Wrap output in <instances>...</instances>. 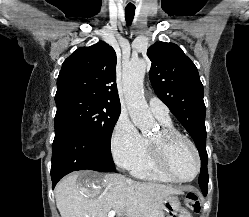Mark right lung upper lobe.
Here are the masks:
<instances>
[{"label": "right lung upper lobe", "mask_w": 249, "mask_h": 217, "mask_svg": "<svg viewBox=\"0 0 249 217\" xmlns=\"http://www.w3.org/2000/svg\"><path fill=\"white\" fill-rule=\"evenodd\" d=\"M116 62L114 49L105 42L80 47L63 62L55 97L78 94L120 106Z\"/></svg>", "instance_id": "cb5924a9"}]
</instances>
